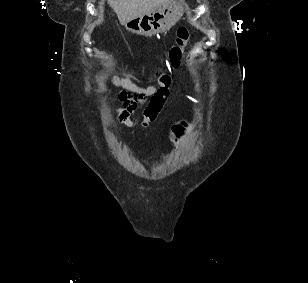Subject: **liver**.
I'll list each match as a JSON object with an SVG mask.
<instances>
[{"label": "liver", "mask_w": 308, "mask_h": 283, "mask_svg": "<svg viewBox=\"0 0 308 283\" xmlns=\"http://www.w3.org/2000/svg\"><path fill=\"white\" fill-rule=\"evenodd\" d=\"M173 0H108L121 25L135 17L142 16L154 8L171 3Z\"/></svg>", "instance_id": "obj_1"}]
</instances>
